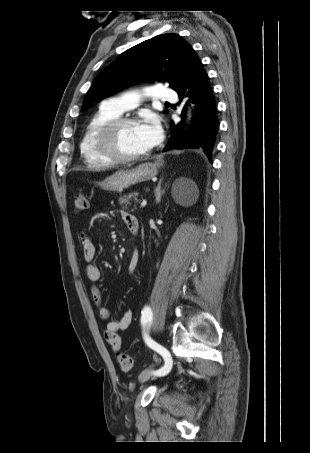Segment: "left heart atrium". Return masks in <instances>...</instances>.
Masks as SVG:
<instances>
[{
	"instance_id": "left-heart-atrium-1",
	"label": "left heart atrium",
	"mask_w": 310,
	"mask_h": 453,
	"mask_svg": "<svg viewBox=\"0 0 310 453\" xmlns=\"http://www.w3.org/2000/svg\"><path fill=\"white\" fill-rule=\"evenodd\" d=\"M139 132L148 149L158 145L162 139V129L155 117H149L140 123Z\"/></svg>"
}]
</instances>
